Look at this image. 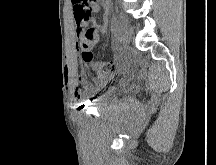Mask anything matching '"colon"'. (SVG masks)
Returning <instances> with one entry per match:
<instances>
[{"label":"colon","instance_id":"obj_1","mask_svg":"<svg viewBox=\"0 0 216 165\" xmlns=\"http://www.w3.org/2000/svg\"><path fill=\"white\" fill-rule=\"evenodd\" d=\"M74 2H87L86 0H74ZM81 16L89 17L90 13H81ZM100 35V28L92 26L86 31V39L80 43V58L89 64L91 68L99 75H108L114 71V64L109 62L93 63V55L91 52V42Z\"/></svg>","mask_w":216,"mask_h":165}]
</instances>
